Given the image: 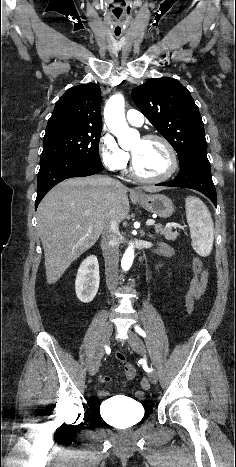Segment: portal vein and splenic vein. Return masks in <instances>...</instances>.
I'll use <instances>...</instances> for the list:
<instances>
[{
  "label": "portal vein and splenic vein",
  "mask_w": 236,
  "mask_h": 467,
  "mask_svg": "<svg viewBox=\"0 0 236 467\" xmlns=\"http://www.w3.org/2000/svg\"><path fill=\"white\" fill-rule=\"evenodd\" d=\"M154 224H155V221L152 220V219L147 220V222H146V225H147V226H152V225H154Z\"/></svg>",
  "instance_id": "18ae733b"
}]
</instances>
